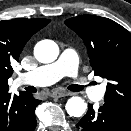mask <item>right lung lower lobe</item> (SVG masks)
<instances>
[{
	"label": "right lung lower lobe",
	"mask_w": 131,
	"mask_h": 131,
	"mask_svg": "<svg viewBox=\"0 0 131 131\" xmlns=\"http://www.w3.org/2000/svg\"><path fill=\"white\" fill-rule=\"evenodd\" d=\"M41 102L31 93L11 95L9 90L0 91V131H34L35 109Z\"/></svg>",
	"instance_id": "1"
}]
</instances>
